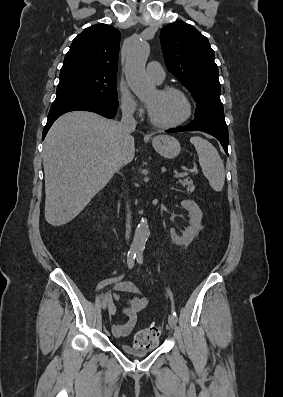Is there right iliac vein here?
<instances>
[{
  "mask_svg": "<svg viewBox=\"0 0 283 397\" xmlns=\"http://www.w3.org/2000/svg\"><path fill=\"white\" fill-rule=\"evenodd\" d=\"M109 294H106L105 296H104V299H103V302H102V309L103 310H105L106 309V307H107V304H108V302H109Z\"/></svg>",
  "mask_w": 283,
  "mask_h": 397,
  "instance_id": "63e3f726",
  "label": "right iliac vein"
}]
</instances>
